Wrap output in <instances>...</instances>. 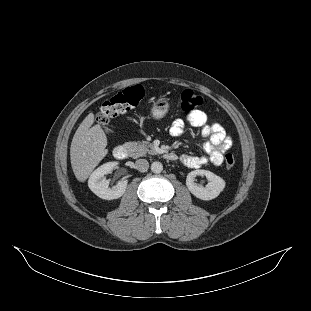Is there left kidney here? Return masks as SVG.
<instances>
[{
    "label": "left kidney",
    "mask_w": 311,
    "mask_h": 311,
    "mask_svg": "<svg viewBox=\"0 0 311 311\" xmlns=\"http://www.w3.org/2000/svg\"><path fill=\"white\" fill-rule=\"evenodd\" d=\"M198 175L206 177V186L195 182V178ZM186 185L188 189L197 197L203 200H210L219 195L225 186V182L222 178L211 171L198 169L187 174Z\"/></svg>",
    "instance_id": "obj_1"
}]
</instances>
